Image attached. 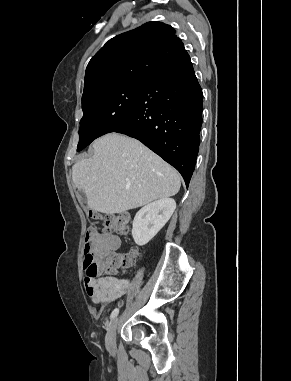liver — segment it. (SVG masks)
Segmentation results:
<instances>
[{"mask_svg": "<svg viewBox=\"0 0 291 381\" xmlns=\"http://www.w3.org/2000/svg\"><path fill=\"white\" fill-rule=\"evenodd\" d=\"M92 146L93 156L72 167L74 185L85 193L89 208L123 213L178 193L177 171L140 141L110 133Z\"/></svg>", "mask_w": 291, "mask_h": 381, "instance_id": "obj_1", "label": "liver"}]
</instances>
